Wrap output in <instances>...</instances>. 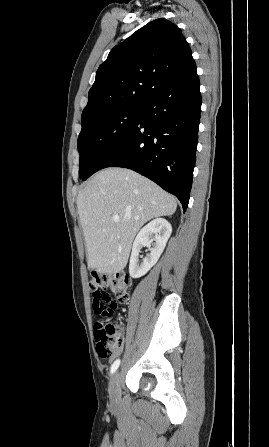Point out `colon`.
<instances>
[{
	"label": "colon",
	"mask_w": 269,
	"mask_h": 447,
	"mask_svg": "<svg viewBox=\"0 0 269 447\" xmlns=\"http://www.w3.org/2000/svg\"><path fill=\"white\" fill-rule=\"evenodd\" d=\"M131 283V278L122 273L106 275L93 272L88 276L87 290L98 317L94 325V338L97 351L103 358L109 357L124 340L125 326L117 325L113 315L118 308L128 303ZM95 295L101 297L94 299Z\"/></svg>",
	"instance_id": "5ec220e1"
}]
</instances>
